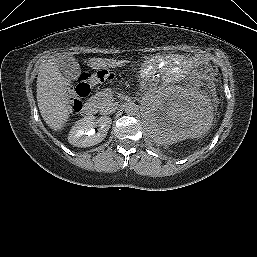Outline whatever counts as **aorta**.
<instances>
[{"label":"aorta","mask_w":257,"mask_h":257,"mask_svg":"<svg viewBox=\"0 0 257 257\" xmlns=\"http://www.w3.org/2000/svg\"><path fill=\"white\" fill-rule=\"evenodd\" d=\"M138 112V106L135 103H128L125 106V113L129 116L136 115Z\"/></svg>","instance_id":"obj_1"}]
</instances>
